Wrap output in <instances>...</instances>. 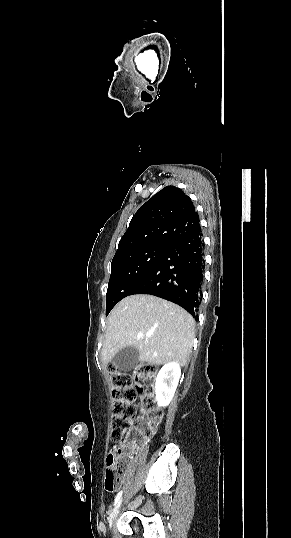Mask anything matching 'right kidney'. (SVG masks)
Here are the masks:
<instances>
[{"label": "right kidney", "mask_w": 291, "mask_h": 538, "mask_svg": "<svg viewBox=\"0 0 291 538\" xmlns=\"http://www.w3.org/2000/svg\"><path fill=\"white\" fill-rule=\"evenodd\" d=\"M181 376V368L178 362L166 363L159 371L156 383L155 394L159 407H166L171 402Z\"/></svg>", "instance_id": "1"}]
</instances>
